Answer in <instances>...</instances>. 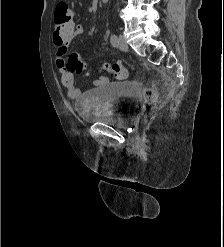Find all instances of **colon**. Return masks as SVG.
Masks as SVG:
<instances>
[{"instance_id": "5ec220e1", "label": "colon", "mask_w": 224, "mask_h": 247, "mask_svg": "<svg viewBox=\"0 0 224 247\" xmlns=\"http://www.w3.org/2000/svg\"><path fill=\"white\" fill-rule=\"evenodd\" d=\"M54 34L61 38L72 39L74 37V21L72 11L66 2H59L55 8L54 14ZM68 69L73 73H81L85 70V63L80 59L78 54H73L68 60ZM101 70L114 74L118 79H126L127 70L119 64H105ZM143 97L146 102L152 103L156 99V92L152 88L143 90Z\"/></svg>"}]
</instances>
